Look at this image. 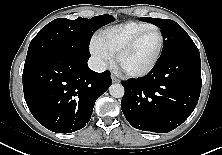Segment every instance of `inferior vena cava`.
<instances>
[{"instance_id":"602c4592","label":"inferior vena cava","mask_w":222,"mask_h":155,"mask_svg":"<svg viewBox=\"0 0 222 155\" xmlns=\"http://www.w3.org/2000/svg\"><path fill=\"white\" fill-rule=\"evenodd\" d=\"M88 66L95 72H104L106 70L105 62L97 57H90L88 60Z\"/></svg>"}]
</instances>
